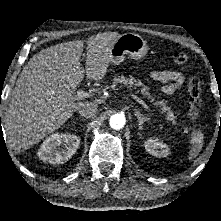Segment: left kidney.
Masks as SVG:
<instances>
[{"mask_svg": "<svg viewBox=\"0 0 221 221\" xmlns=\"http://www.w3.org/2000/svg\"><path fill=\"white\" fill-rule=\"evenodd\" d=\"M144 146L146 151L155 157H167L170 154L169 147L157 138L148 139Z\"/></svg>", "mask_w": 221, "mask_h": 221, "instance_id": "left-kidney-1", "label": "left kidney"}]
</instances>
